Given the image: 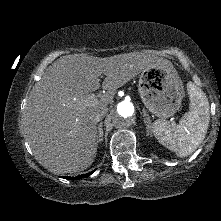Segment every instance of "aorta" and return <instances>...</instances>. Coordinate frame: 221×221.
<instances>
[{"label":"aorta","mask_w":221,"mask_h":221,"mask_svg":"<svg viewBox=\"0 0 221 221\" xmlns=\"http://www.w3.org/2000/svg\"><path fill=\"white\" fill-rule=\"evenodd\" d=\"M135 107L130 101H121L115 104L112 111V121L120 129H128L135 121Z\"/></svg>","instance_id":"1"}]
</instances>
